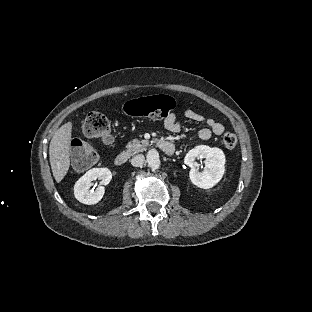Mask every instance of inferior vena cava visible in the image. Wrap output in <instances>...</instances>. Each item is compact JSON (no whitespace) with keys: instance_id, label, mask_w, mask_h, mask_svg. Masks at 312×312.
Listing matches in <instances>:
<instances>
[{"instance_id":"obj_1","label":"inferior vena cava","mask_w":312,"mask_h":312,"mask_svg":"<svg viewBox=\"0 0 312 312\" xmlns=\"http://www.w3.org/2000/svg\"><path fill=\"white\" fill-rule=\"evenodd\" d=\"M144 161H145L144 155L138 154L131 159V164L134 167H140L143 165Z\"/></svg>"}]
</instances>
